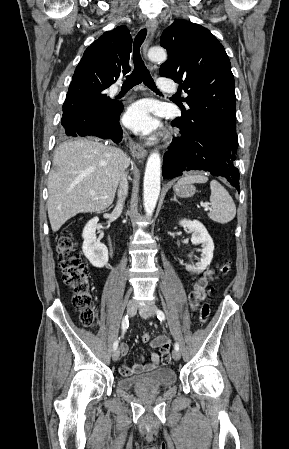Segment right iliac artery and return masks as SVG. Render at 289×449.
Instances as JSON below:
<instances>
[{
	"mask_svg": "<svg viewBox=\"0 0 289 449\" xmlns=\"http://www.w3.org/2000/svg\"><path fill=\"white\" fill-rule=\"evenodd\" d=\"M128 326H129V319H128V316L126 315V316L123 318V320H122V336L124 335V333H125V331L127 330ZM119 339H120V338H119ZM118 343H119L118 340H116V341L114 342V344H113V349H114V350L117 349Z\"/></svg>",
	"mask_w": 289,
	"mask_h": 449,
	"instance_id": "obj_1",
	"label": "right iliac artery"
}]
</instances>
